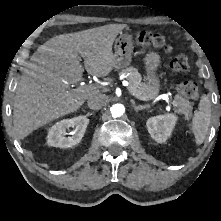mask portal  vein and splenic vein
<instances>
[{
	"mask_svg": "<svg viewBox=\"0 0 221 221\" xmlns=\"http://www.w3.org/2000/svg\"><path fill=\"white\" fill-rule=\"evenodd\" d=\"M97 87L95 85H80L77 89H75L77 92H90V91H93L95 90ZM160 99H164L166 100L167 102H169V98H168V95L167 94H162L159 96ZM139 99V98H138ZM141 100H146L144 98H140ZM174 105V102L172 103ZM175 106V105H174Z\"/></svg>",
	"mask_w": 221,
	"mask_h": 221,
	"instance_id": "1",
	"label": "portal vein and splenic vein"
}]
</instances>
